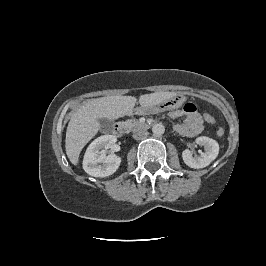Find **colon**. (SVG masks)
Returning a JSON list of instances; mask_svg holds the SVG:
<instances>
[{
    "instance_id": "1",
    "label": "colon",
    "mask_w": 266,
    "mask_h": 266,
    "mask_svg": "<svg viewBox=\"0 0 266 266\" xmlns=\"http://www.w3.org/2000/svg\"><path fill=\"white\" fill-rule=\"evenodd\" d=\"M203 117H204V120L207 122V123H209V124H213V123H215V121H216V119H215V117L213 116V115H211V114H209V113H205L204 115H203ZM224 129L223 128H218L217 129V135L218 136H223L224 135Z\"/></svg>"
}]
</instances>
